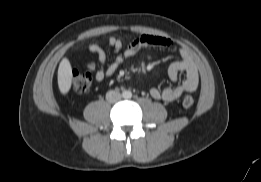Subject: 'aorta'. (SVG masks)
Listing matches in <instances>:
<instances>
[{
	"instance_id": "762f6f07",
	"label": "aorta",
	"mask_w": 261,
	"mask_h": 182,
	"mask_svg": "<svg viewBox=\"0 0 261 182\" xmlns=\"http://www.w3.org/2000/svg\"><path fill=\"white\" fill-rule=\"evenodd\" d=\"M122 96L125 99H130L132 97V93H131V91H124Z\"/></svg>"
}]
</instances>
